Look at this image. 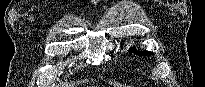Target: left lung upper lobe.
Masks as SVG:
<instances>
[{
    "instance_id": "left-lung-upper-lobe-1",
    "label": "left lung upper lobe",
    "mask_w": 205,
    "mask_h": 87,
    "mask_svg": "<svg viewBox=\"0 0 205 87\" xmlns=\"http://www.w3.org/2000/svg\"><path fill=\"white\" fill-rule=\"evenodd\" d=\"M129 52H133V53H135V54H138V55H146V54H153L152 52H148V51H137L136 49H135V47H133V48H130L129 49Z\"/></svg>"
}]
</instances>
